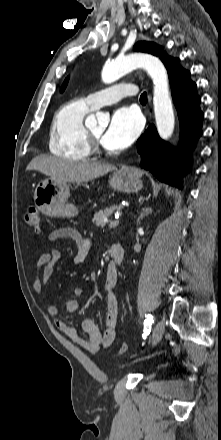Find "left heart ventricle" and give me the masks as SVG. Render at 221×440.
I'll return each mask as SVG.
<instances>
[{
  "mask_svg": "<svg viewBox=\"0 0 221 440\" xmlns=\"http://www.w3.org/2000/svg\"><path fill=\"white\" fill-rule=\"evenodd\" d=\"M90 131L93 133V135L100 139L104 132V127L91 128Z\"/></svg>",
  "mask_w": 221,
  "mask_h": 440,
  "instance_id": "left-heart-ventricle-1",
  "label": "left heart ventricle"
}]
</instances>
